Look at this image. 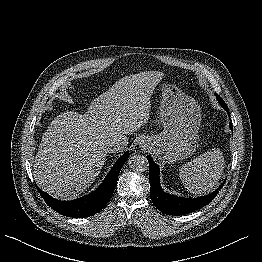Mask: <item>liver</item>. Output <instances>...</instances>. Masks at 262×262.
I'll return each mask as SVG.
<instances>
[{
	"label": "liver",
	"instance_id": "liver-1",
	"mask_svg": "<svg viewBox=\"0 0 262 262\" xmlns=\"http://www.w3.org/2000/svg\"><path fill=\"white\" fill-rule=\"evenodd\" d=\"M163 76L160 71L125 76L95 98L84 115L66 111L57 116L34 160L38 186L59 199L84 192L99 175L108 144L127 140L147 123L150 97Z\"/></svg>",
	"mask_w": 262,
	"mask_h": 262
}]
</instances>
